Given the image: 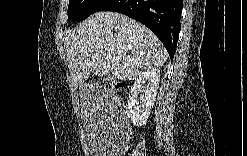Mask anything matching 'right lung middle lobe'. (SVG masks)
Returning a JSON list of instances; mask_svg holds the SVG:
<instances>
[{
  "label": "right lung middle lobe",
  "instance_id": "1",
  "mask_svg": "<svg viewBox=\"0 0 247 156\" xmlns=\"http://www.w3.org/2000/svg\"><path fill=\"white\" fill-rule=\"evenodd\" d=\"M107 0H70L68 19L81 21L98 12Z\"/></svg>",
  "mask_w": 247,
  "mask_h": 156
}]
</instances>
